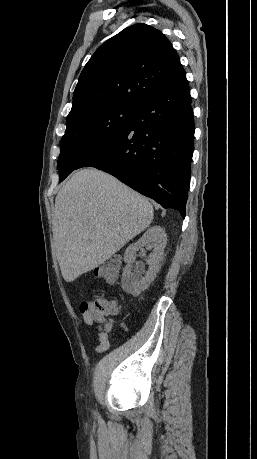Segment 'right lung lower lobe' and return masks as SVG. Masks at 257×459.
Instances as JSON below:
<instances>
[{
  "label": "right lung lower lobe",
  "mask_w": 257,
  "mask_h": 459,
  "mask_svg": "<svg viewBox=\"0 0 257 459\" xmlns=\"http://www.w3.org/2000/svg\"><path fill=\"white\" fill-rule=\"evenodd\" d=\"M194 118L186 75L136 106L128 127L90 156V166L185 217Z\"/></svg>",
  "instance_id": "obj_1"
}]
</instances>
